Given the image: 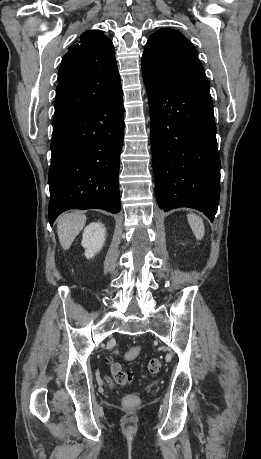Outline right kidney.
Wrapping results in <instances>:
<instances>
[{"instance_id":"obj_1","label":"right kidney","mask_w":261,"mask_h":459,"mask_svg":"<svg viewBox=\"0 0 261 459\" xmlns=\"http://www.w3.org/2000/svg\"><path fill=\"white\" fill-rule=\"evenodd\" d=\"M105 236V228L100 222H92L85 228L81 244L85 248L86 258L94 257L102 249Z\"/></svg>"}]
</instances>
